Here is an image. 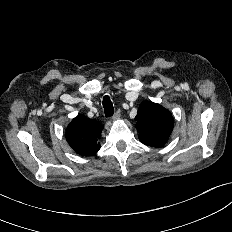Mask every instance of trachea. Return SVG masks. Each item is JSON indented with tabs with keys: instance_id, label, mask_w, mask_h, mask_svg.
I'll return each instance as SVG.
<instances>
[{
	"instance_id": "1",
	"label": "trachea",
	"mask_w": 232,
	"mask_h": 232,
	"mask_svg": "<svg viewBox=\"0 0 232 232\" xmlns=\"http://www.w3.org/2000/svg\"><path fill=\"white\" fill-rule=\"evenodd\" d=\"M103 107L106 117H111L114 114V107L109 96H104Z\"/></svg>"
}]
</instances>
